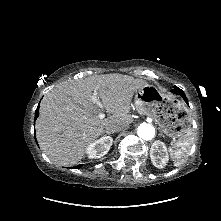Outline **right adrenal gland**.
<instances>
[{
    "label": "right adrenal gland",
    "mask_w": 221,
    "mask_h": 221,
    "mask_svg": "<svg viewBox=\"0 0 221 221\" xmlns=\"http://www.w3.org/2000/svg\"><path fill=\"white\" fill-rule=\"evenodd\" d=\"M107 134H111V132L105 131Z\"/></svg>",
    "instance_id": "1"
}]
</instances>
